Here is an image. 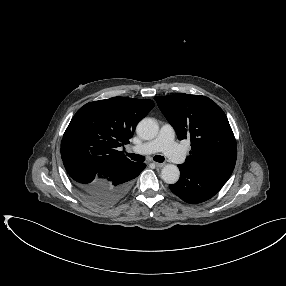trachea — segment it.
Wrapping results in <instances>:
<instances>
[{
	"mask_svg": "<svg viewBox=\"0 0 286 286\" xmlns=\"http://www.w3.org/2000/svg\"><path fill=\"white\" fill-rule=\"evenodd\" d=\"M127 155L132 160L137 161V162H143L145 160V157L142 156V155H139V154L132 153V154H127ZM153 160L156 161V162L162 163L165 160V158L163 156L156 155V156H154Z\"/></svg>",
	"mask_w": 286,
	"mask_h": 286,
	"instance_id": "1",
	"label": "trachea"
}]
</instances>
